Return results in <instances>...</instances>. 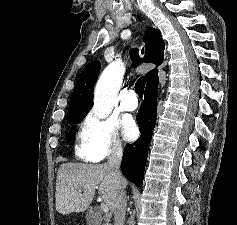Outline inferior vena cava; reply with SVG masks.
<instances>
[{"label":"inferior vena cava","instance_id":"602c4592","mask_svg":"<svg viewBox=\"0 0 237 225\" xmlns=\"http://www.w3.org/2000/svg\"><path fill=\"white\" fill-rule=\"evenodd\" d=\"M123 151L121 144L118 142H115L111 145L109 155H108V161L106 165L108 166L111 175L113 176V179L116 183V202L114 207V225H124L125 221V215H126V195L124 192L125 184H124V178L120 171V164L122 161Z\"/></svg>","mask_w":237,"mask_h":225}]
</instances>
